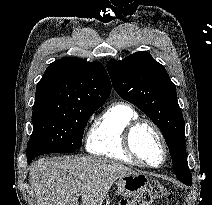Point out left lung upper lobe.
I'll list each match as a JSON object with an SVG mask.
<instances>
[{"mask_svg":"<svg viewBox=\"0 0 212 205\" xmlns=\"http://www.w3.org/2000/svg\"><path fill=\"white\" fill-rule=\"evenodd\" d=\"M107 69L121 98L140 108L162 131L176 177L192 185L185 142V122L177 102L176 87L165 68L146 51L121 61L109 60Z\"/></svg>","mask_w":212,"mask_h":205,"instance_id":"obj_1","label":"left lung upper lobe"}]
</instances>
